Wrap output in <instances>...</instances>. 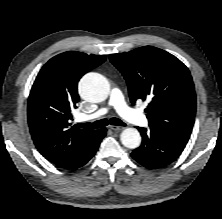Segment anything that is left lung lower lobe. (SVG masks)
Returning a JSON list of instances; mask_svg holds the SVG:
<instances>
[{
  "instance_id": "obj_1",
  "label": "left lung lower lobe",
  "mask_w": 222,
  "mask_h": 219,
  "mask_svg": "<svg viewBox=\"0 0 222 219\" xmlns=\"http://www.w3.org/2000/svg\"><path fill=\"white\" fill-rule=\"evenodd\" d=\"M142 135V144L131 156L146 168L154 169L166 166L179 157L186 146V141L167 132L150 127H137Z\"/></svg>"
}]
</instances>
